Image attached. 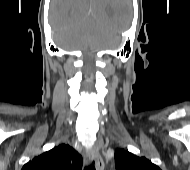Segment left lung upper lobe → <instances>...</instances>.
<instances>
[{"label": "left lung upper lobe", "instance_id": "5c2ea615", "mask_svg": "<svg viewBox=\"0 0 190 170\" xmlns=\"http://www.w3.org/2000/svg\"><path fill=\"white\" fill-rule=\"evenodd\" d=\"M115 165L116 170H160L145 157H138L124 149L115 151Z\"/></svg>", "mask_w": 190, "mask_h": 170}]
</instances>
